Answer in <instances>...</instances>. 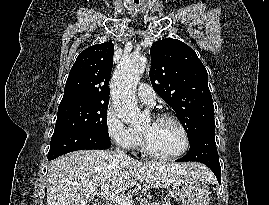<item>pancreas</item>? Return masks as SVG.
<instances>
[{
  "label": "pancreas",
  "instance_id": "1",
  "mask_svg": "<svg viewBox=\"0 0 269 205\" xmlns=\"http://www.w3.org/2000/svg\"><path fill=\"white\" fill-rule=\"evenodd\" d=\"M139 201H140V204L141 205H171V204H169V202H153V203H151V202H148V200L147 199H139Z\"/></svg>",
  "mask_w": 269,
  "mask_h": 205
}]
</instances>
